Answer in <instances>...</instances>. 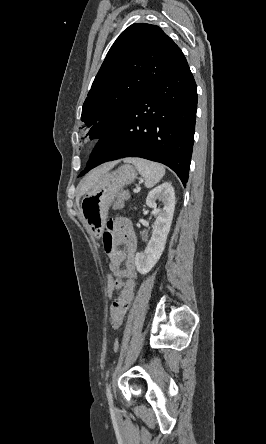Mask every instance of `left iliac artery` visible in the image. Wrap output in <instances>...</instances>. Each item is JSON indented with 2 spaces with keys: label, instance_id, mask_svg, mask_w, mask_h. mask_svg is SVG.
<instances>
[{
  "label": "left iliac artery",
  "instance_id": "left-iliac-artery-1",
  "mask_svg": "<svg viewBox=\"0 0 266 444\" xmlns=\"http://www.w3.org/2000/svg\"><path fill=\"white\" fill-rule=\"evenodd\" d=\"M106 396H107L108 402L112 403L113 400H112V393H111V383H109L107 385Z\"/></svg>",
  "mask_w": 266,
  "mask_h": 444
}]
</instances>
